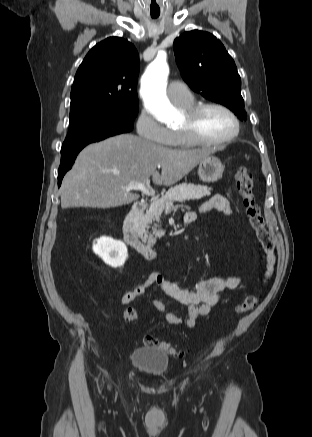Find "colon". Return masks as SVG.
<instances>
[{"label":"colon","instance_id":"obj_1","mask_svg":"<svg viewBox=\"0 0 312 437\" xmlns=\"http://www.w3.org/2000/svg\"><path fill=\"white\" fill-rule=\"evenodd\" d=\"M235 180L242 197L246 215L264 253V279L267 280L272 275L276 263L275 245L266 229L260 207L254 196L253 174L247 167L240 166L236 171ZM256 303L257 298L253 295H248L237 307V311L239 313L248 312L254 308ZM124 319L127 323L135 322L138 319L137 310L134 307L126 308ZM144 342L149 345H156L172 355H179L178 350L152 337H146Z\"/></svg>","mask_w":312,"mask_h":437}]
</instances>
